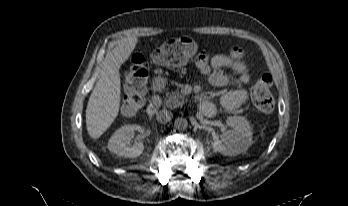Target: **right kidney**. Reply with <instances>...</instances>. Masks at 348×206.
I'll list each match as a JSON object with an SVG mask.
<instances>
[{
    "label": "right kidney",
    "mask_w": 348,
    "mask_h": 206,
    "mask_svg": "<svg viewBox=\"0 0 348 206\" xmlns=\"http://www.w3.org/2000/svg\"><path fill=\"white\" fill-rule=\"evenodd\" d=\"M135 131L142 133L141 138L130 145V141ZM147 132L139 125H124L114 132L108 141V150L121 157L135 158L140 156L144 150V144L141 141Z\"/></svg>",
    "instance_id": "obj_1"
}]
</instances>
